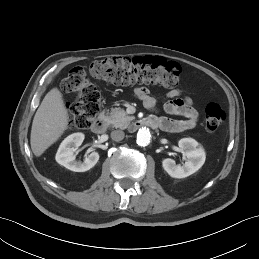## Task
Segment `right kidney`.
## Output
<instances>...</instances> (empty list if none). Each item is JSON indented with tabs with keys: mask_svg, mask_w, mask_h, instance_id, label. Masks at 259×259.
Here are the masks:
<instances>
[{
	"mask_svg": "<svg viewBox=\"0 0 259 259\" xmlns=\"http://www.w3.org/2000/svg\"><path fill=\"white\" fill-rule=\"evenodd\" d=\"M83 140V133H73L65 138L56 153V161L74 172H85L94 167L99 160V154L95 151L91 152L83 162L75 160L74 152L82 144Z\"/></svg>",
	"mask_w": 259,
	"mask_h": 259,
	"instance_id": "right-kidney-1",
	"label": "right kidney"
}]
</instances>
